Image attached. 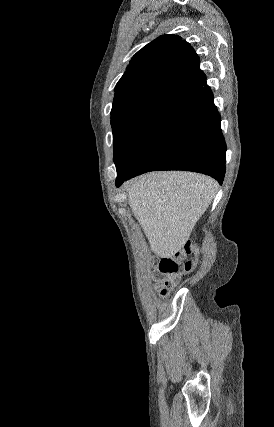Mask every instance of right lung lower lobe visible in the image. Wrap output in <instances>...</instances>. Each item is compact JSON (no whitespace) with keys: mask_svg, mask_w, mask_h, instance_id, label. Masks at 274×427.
<instances>
[{"mask_svg":"<svg viewBox=\"0 0 274 427\" xmlns=\"http://www.w3.org/2000/svg\"><path fill=\"white\" fill-rule=\"evenodd\" d=\"M226 145L209 86L174 104L129 166H116V186L155 170H187L222 184Z\"/></svg>","mask_w":274,"mask_h":427,"instance_id":"obj_1","label":"right lung lower lobe"}]
</instances>
